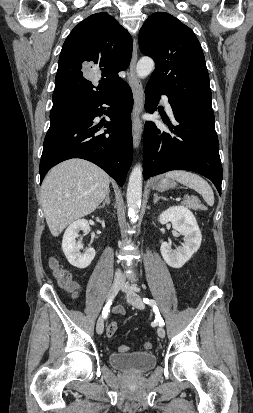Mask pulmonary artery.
<instances>
[{
	"instance_id": "1",
	"label": "pulmonary artery",
	"mask_w": 253,
	"mask_h": 413,
	"mask_svg": "<svg viewBox=\"0 0 253 413\" xmlns=\"http://www.w3.org/2000/svg\"><path fill=\"white\" fill-rule=\"evenodd\" d=\"M162 101H163V104H164L165 109L167 110V112H168L170 115H172V114H173V111H172V108H171L169 99H168V97H167L166 95H162Z\"/></svg>"
}]
</instances>
